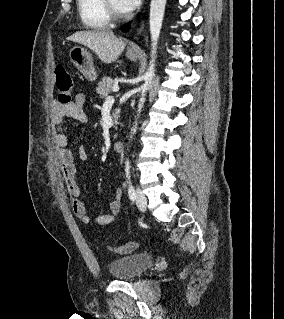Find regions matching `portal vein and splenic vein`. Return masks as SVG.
Returning a JSON list of instances; mask_svg holds the SVG:
<instances>
[{
	"instance_id": "18ae733b",
	"label": "portal vein and splenic vein",
	"mask_w": 284,
	"mask_h": 319,
	"mask_svg": "<svg viewBox=\"0 0 284 319\" xmlns=\"http://www.w3.org/2000/svg\"><path fill=\"white\" fill-rule=\"evenodd\" d=\"M112 90L114 92L119 91V87L117 85L113 86ZM106 102H114V97L113 96H109L106 98Z\"/></svg>"
}]
</instances>
